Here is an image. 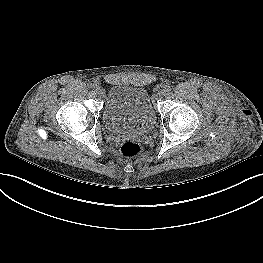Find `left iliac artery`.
Returning <instances> with one entry per match:
<instances>
[{
    "mask_svg": "<svg viewBox=\"0 0 263 263\" xmlns=\"http://www.w3.org/2000/svg\"><path fill=\"white\" fill-rule=\"evenodd\" d=\"M170 90H171V88L169 86L165 88L166 92H169Z\"/></svg>",
    "mask_w": 263,
    "mask_h": 263,
    "instance_id": "left-iliac-artery-1",
    "label": "left iliac artery"
}]
</instances>
